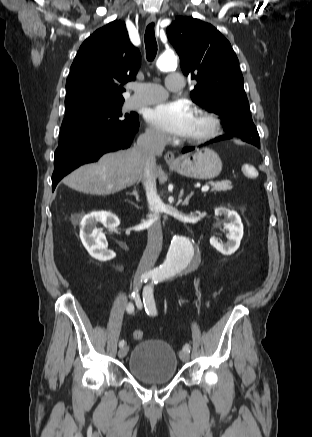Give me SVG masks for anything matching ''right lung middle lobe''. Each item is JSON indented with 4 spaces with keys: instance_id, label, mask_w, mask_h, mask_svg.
Returning a JSON list of instances; mask_svg holds the SVG:
<instances>
[{
    "instance_id": "right-lung-middle-lobe-1",
    "label": "right lung middle lobe",
    "mask_w": 312,
    "mask_h": 437,
    "mask_svg": "<svg viewBox=\"0 0 312 437\" xmlns=\"http://www.w3.org/2000/svg\"><path fill=\"white\" fill-rule=\"evenodd\" d=\"M120 103H85L66 107L59 145L105 130L122 128L138 119L137 114H122Z\"/></svg>"
}]
</instances>
